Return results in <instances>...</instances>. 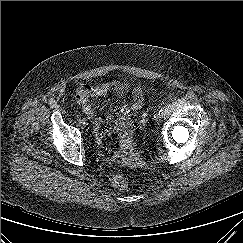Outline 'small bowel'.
Wrapping results in <instances>:
<instances>
[{"mask_svg":"<svg viewBox=\"0 0 243 243\" xmlns=\"http://www.w3.org/2000/svg\"><path fill=\"white\" fill-rule=\"evenodd\" d=\"M130 90L128 84L120 81L81 84L75 94L76 103L82 108L84 114L92 121L95 126L96 139L101 141L103 132L102 126L105 122H114L111 132L127 140L132 131V112L138 111L143 104V94L139 87L132 89V100L130 103L123 104L118 112L108 114L105 117L97 115L95 110V101L99 98L106 97L110 91L118 95L127 94Z\"/></svg>","mask_w":243,"mask_h":243,"instance_id":"c3829d8e","label":"small bowel"}]
</instances>
